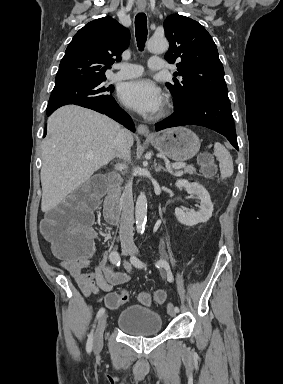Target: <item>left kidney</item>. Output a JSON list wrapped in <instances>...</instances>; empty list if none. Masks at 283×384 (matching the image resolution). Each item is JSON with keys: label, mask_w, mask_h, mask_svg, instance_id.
I'll return each instance as SVG.
<instances>
[{"label": "left kidney", "mask_w": 283, "mask_h": 384, "mask_svg": "<svg viewBox=\"0 0 283 384\" xmlns=\"http://www.w3.org/2000/svg\"><path fill=\"white\" fill-rule=\"evenodd\" d=\"M176 188H186V192L188 194H195L200 202L199 212H184L181 208H175V216L178 222L181 224H185V226H196V224H200V222H208L209 218L212 216L213 212V204L211 202V198L209 196V192L198 184V182H188V180H177L175 184Z\"/></svg>", "instance_id": "5707ae66"}]
</instances>
